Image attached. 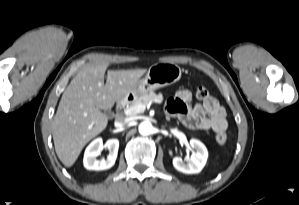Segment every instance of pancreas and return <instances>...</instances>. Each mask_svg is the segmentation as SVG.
Listing matches in <instances>:
<instances>
[{"instance_id":"1","label":"pancreas","mask_w":299,"mask_h":205,"mask_svg":"<svg viewBox=\"0 0 299 205\" xmlns=\"http://www.w3.org/2000/svg\"><path fill=\"white\" fill-rule=\"evenodd\" d=\"M163 100V96L161 93L159 94H155L154 92H150L148 94H144L142 96H140L139 98L135 99L134 101L130 102L125 110L134 108L135 106L139 105V104H144V105H148L152 102H161Z\"/></svg>"}]
</instances>
